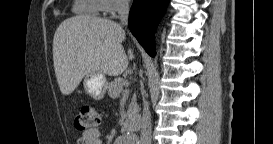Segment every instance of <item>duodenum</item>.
Here are the masks:
<instances>
[{"mask_svg":"<svg viewBox=\"0 0 273 144\" xmlns=\"http://www.w3.org/2000/svg\"><path fill=\"white\" fill-rule=\"evenodd\" d=\"M124 128L127 132H133L137 129V119L128 118L124 122Z\"/></svg>","mask_w":273,"mask_h":144,"instance_id":"1","label":"duodenum"}]
</instances>
